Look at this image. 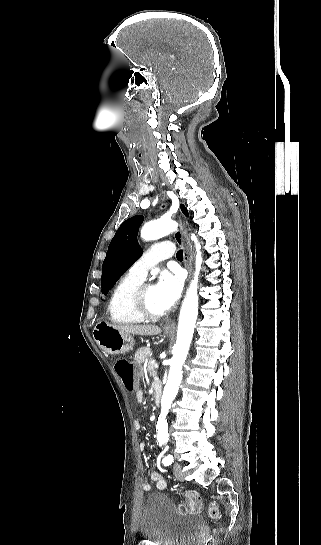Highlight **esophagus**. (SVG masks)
Returning <instances> with one entry per match:
<instances>
[{"label":"esophagus","mask_w":321,"mask_h":545,"mask_svg":"<svg viewBox=\"0 0 321 545\" xmlns=\"http://www.w3.org/2000/svg\"><path fill=\"white\" fill-rule=\"evenodd\" d=\"M174 238L178 244L182 243V245L184 246V265L188 271V278H190L191 272H192V262H193L192 246L190 244V241L188 239L186 232L181 228H178L174 232ZM174 327H175L174 322H168L164 325L165 329H173Z\"/></svg>","instance_id":"34e87169"}]
</instances>
